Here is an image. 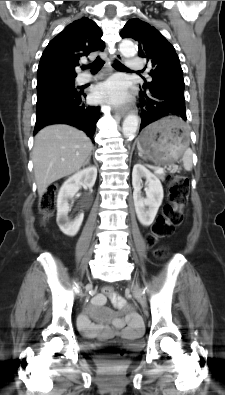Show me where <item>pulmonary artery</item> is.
<instances>
[{"instance_id": "pulmonary-artery-1", "label": "pulmonary artery", "mask_w": 225, "mask_h": 395, "mask_svg": "<svg viewBox=\"0 0 225 395\" xmlns=\"http://www.w3.org/2000/svg\"><path fill=\"white\" fill-rule=\"evenodd\" d=\"M127 66L130 70H140L143 67V63L141 61V59L135 57V58H131L127 61ZM95 78V76H92L90 74H82L78 77V82L79 83H87L90 82L91 80H93Z\"/></svg>"}]
</instances>
